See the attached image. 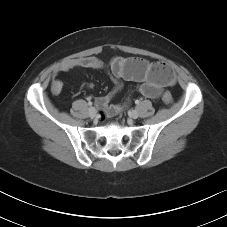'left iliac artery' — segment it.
Segmentation results:
<instances>
[{"label":"left iliac artery","mask_w":227,"mask_h":227,"mask_svg":"<svg viewBox=\"0 0 227 227\" xmlns=\"http://www.w3.org/2000/svg\"><path fill=\"white\" fill-rule=\"evenodd\" d=\"M139 102H140L139 100H136V101H135V104H137V105H138V104H139Z\"/></svg>","instance_id":"44dca946"}]
</instances>
